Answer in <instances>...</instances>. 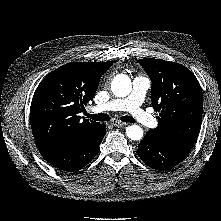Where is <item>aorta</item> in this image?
<instances>
[{"mask_svg":"<svg viewBox=\"0 0 221 221\" xmlns=\"http://www.w3.org/2000/svg\"><path fill=\"white\" fill-rule=\"evenodd\" d=\"M111 90L117 97H126L132 90L131 79L125 74L117 75L111 84ZM126 135L131 140H141L143 130L138 125H131L126 128Z\"/></svg>","mask_w":221,"mask_h":221,"instance_id":"aorta-1","label":"aorta"}]
</instances>
